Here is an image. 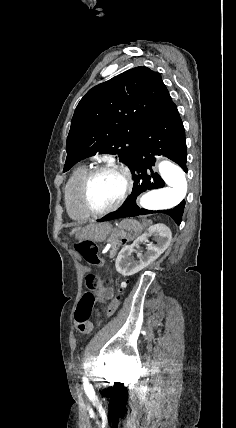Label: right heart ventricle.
Listing matches in <instances>:
<instances>
[{
  "label": "right heart ventricle",
  "instance_id": "e07e8e85",
  "mask_svg": "<svg viewBox=\"0 0 236 428\" xmlns=\"http://www.w3.org/2000/svg\"><path fill=\"white\" fill-rule=\"evenodd\" d=\"M88 170L86 165L78 166L71 172L64 186V197L68 212L78 221H86L92 217L83 208L80 201V185Z\"/></svg>",
  "mask_w": 236,
  "mask_h": 428
}]
</instances>
